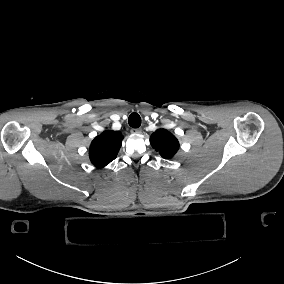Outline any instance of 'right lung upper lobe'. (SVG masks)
<instances>
[{
	"label": "right lung upper lobe",
	"instance_id": "cb5924a9",
	"mask_svg": "<svg viewBox=\"0 0 284 284\" xmlns=\"http://www.w3.org/2000/svg\"><path fill=\"white\" fill-rule=\"evenodd\" d=\"M123 136L119 131L106 130L90 145L89 157L94 166L103 168L113 161L121 147Z\"/></svg>",
	"mask_w": 284,
	"mask_h": 284
}]
</instances>
